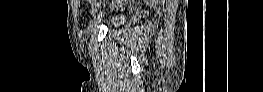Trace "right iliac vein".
<instances>
[{
  "label": "right iliac vein",
  "instance_id": "63e3f726",
  "mask_svg": "<svg viewBox=\"0 0 263 92\" xmlns=\"http://www.w3.org/2000/svg\"><path fill=\"white\" fill-rule=\"evenodd\" d=\"M100 5H101V0H94V1H92V6H100ZM89 28L90 29L93 28V25H90Z\"/></svg>",
  "mask_w": 263,
  "mask_h": 92
}]
</instances>
